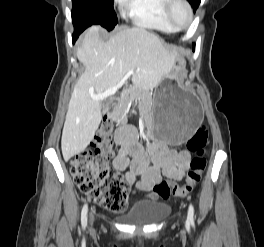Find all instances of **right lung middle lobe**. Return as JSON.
I'll list each match as a JSON object with an SVG mask.
<instances>
[{
	"mask_svg": "<svg viewBox=\"0 0 264 247\" xmlns=\"http://www.w3.org/2000/svg\"><path fill=\"white\" fill-rule=\"evenodd\" d=\"M72 21L74 27L85 30L93 24L112 30L118 20L113 8V0H72Z\"/></svg>",
	"mask_w": 264,
	"mask_h": 247,
	"instance_id": "dd1d6c3e",
	"label": "right lung middle lobe"
}]
</instances>
